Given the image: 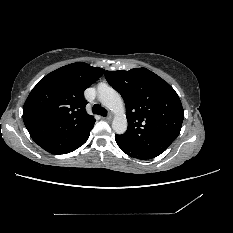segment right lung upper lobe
<instances>
[{
    "label": "right lung upper lobe",
    "instance_id": "right-lung-upper-lobe-1",
    "mask_svg": "<svg viewBox=\"0 0 233 233\" xmlns=\"http://www.w3.org/2000/svg\"><path fill=\"white\" fill-rule=\"evenodd\" d=\"M104 71L77 62L49 73L37 83L24 103L23 121L40 147L59 155L87 141L95 119L85 111L83 94Z\"/></svg>",
    "mask_w": 233,
    "mask_h": 233
}]
</instances>
